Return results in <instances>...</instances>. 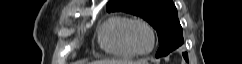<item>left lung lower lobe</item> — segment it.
<instances>
[{
    "instance_id": "1",
    "label": "left lung lower lobe",
    "mask_w": 242,
    "mask_h": 64,
    "mask_svg": "<svg viewBox=\"0 0 242 64\" xmlns=\"http://www.w3.org/2000/svg\"><path fill=\"white\" fill-rule=\"evenodd\" d=\"M183 57L185 58V60H187L188 61V54L185 52V53H183Z\"/></svg>"
}]
</instances>
